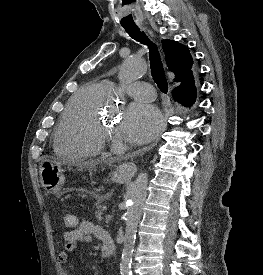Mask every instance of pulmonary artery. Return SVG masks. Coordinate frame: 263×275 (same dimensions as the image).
I'll use <instances>...</instances> for the list:
<instances>
[{
	"instance_id": "1",
	"label": "pulmonary artery",
	"mask_w": 263,
	"mask_h": 275,
	"mask_svg": "<svg viewBox=\"0 0 263 275\" xmlns=\"http://www.w3.org/2000/svg\"><path fill=\"white\" fill-rule=\"evenodd\" d=\"M103 84L109 91L115 87L114 82L109 80H105ZM125 92L129 96L138 100L152 101L155 98V90L153 86L143 81H136L128 84L125 88Z\"/></svg>"
}]
</instances>
